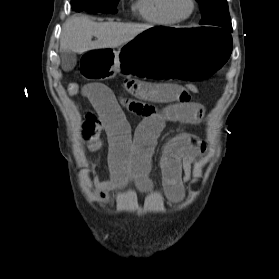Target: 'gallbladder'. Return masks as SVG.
Listing matches in <instances>:
<instances>
[{
    "instance_id": "obj_1",
    "label": "gallbladder",
    "mask_w": 279,
    "mask_h": 279,
    "mask_svg": "<svg viewBox=\"0 0 279 279\" xmlns=\"http://www.w3.org/2000/svg\"><path fill=\"white\" fill-rule=\"evenodd\" d=\"M61 64L64 71H71L76 65V54L72 51H61Z\"/></svg>"
}]
</instances>
